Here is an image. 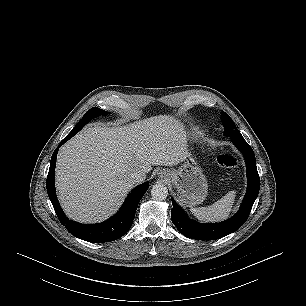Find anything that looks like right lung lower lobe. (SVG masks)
<instances>
[{"instance_id": "obj_1", "label": "right lung lower lobe", "mask_w": 306, "mask_h": 306, "mask_svg": "<svg viewBox=\"0 0 306 306\" xmlns=\"http://www.w3.org/2000/svg\"><path fill=\"white\" fill-rule=\"evenodd\" d=\"M70 138L71 136L67 135L61 141L58 148ZM58 148L54 151L51 158L46 187L48 196L60 222L72 235L89 242H110L125 235L133 223L138 203L147 191L149 184L145 182L135 187L126 198L120 210L112 218L105 222L86 225L69 220L60 207L55 192V165Z\"/></svg>"}]
</instances>
